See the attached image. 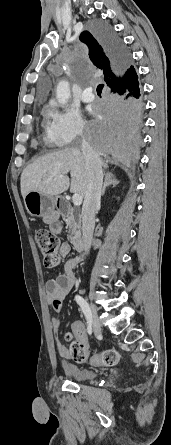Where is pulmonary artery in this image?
<instances>
[{
  "instance_id": "e3ab8cb5",
  "label": "pulmonary artery",
  "mask_w": 171,
  "mask_h": 445,
  "mask_svg": "<svg viewBox=\"0 0 171 445\" xmlns=\"http://www.w3.org/2000/svg\"><path fill=\"white\" fill-rule=\"evenodd\" d=\"M81 99L83 102L89 103L94 100V95L90 88H87L84 90V92L81 95Z\"/></svg>"
}]
</instances>
